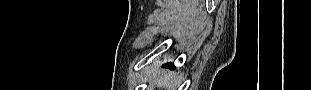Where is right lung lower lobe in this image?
Returning a JSON list of instances; mask_svg holds the SVG:
<instances>
[{"label": "right lung lower lobe", "instance_id": "obj_1", "mask_svg": "<svg viewBox=\"0 0 311 90\" xmlns=\"http://www.w3.org/2000/svg\"><path fill=\"white\" fill-rule=\"evenodd\" d=\"M167 66H172V67H173V64H172V63H169V64H167Z\"/></svg>", "mask_w": 311, "mask_h": 90}]
</instances>
